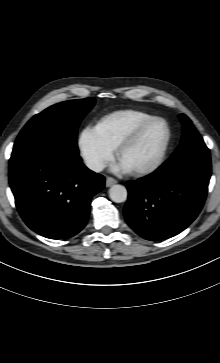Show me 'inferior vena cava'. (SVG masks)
I'll return each instance as SVG.
<instances>
[{"label":"inferior vena cava","mask_w":220,"mask_h":363,"mask_svg":"<svg viewBox=\"0 0 220 363\" xmlns=\"http://www.w3.org/2000/svg\"><path fill=\"white\" fill-rule=\"evenodd\" d=\"M86 166L95 172H100L104 169L103 162L96 160V159H89L86 161Z\"/></svg>","instance_id":"602c4592"}]
</instances>
